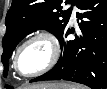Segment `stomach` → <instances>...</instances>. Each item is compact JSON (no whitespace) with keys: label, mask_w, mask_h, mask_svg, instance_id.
<instances>
[{"label":"stomach","mask_w":107,"mask_h":89,"mask_svg":"<svg viewBox=\"0 0 107 89\" xmlns=\"http://www.w3.org/2000/svg\"><path fill=\"white\" fill-rule=\"evenodd\" d=\"M42 88H43V89H54L53 87H50V86H48V85H47V86H43ZM30 89H36V88H30ZM55 89H64V88H63V85H60V87L55 88Z\"/></svg>","instance_id":"stomach-1"}]
</instances>
